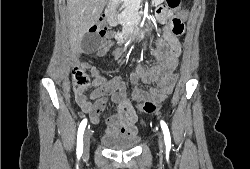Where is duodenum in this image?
<instances>
[{"label": "duodenum", "mask_w": 250, "mask_h": 169, "mask_svg": "<svg viewBox=\"0 0 250 169\" xmlns=\"http://www.w3.org/2000/svg\"><path fill=\"white\" fill-rule=\"evenodd\" d=\"M109 12L113 13V11H111V10H109ZM112 36H113V39L118 43L126 41L130 36L142 40L145 37V31H144V27L135 26L133 28L130 36H126L125 32L113 33ZM106 125H107V123H106Z\"/></svg>", "instance_id": "duodenum-1"}]
</instances>
